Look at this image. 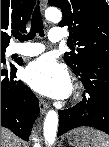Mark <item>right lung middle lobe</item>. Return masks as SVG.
<instances>
[{
    "instance_id": "right-lung-middle-lobe-1",
    "label": "right lung middle lobe",
    "mask_w": 109,
    "mask_h": 147,
    "mask_svg": "<svg viewBox=\"0 0 109 147\" xmlns=\"http://www.w3.org/2000/svg\"><path fill=\"white\" fill-rule=\"evenodd\" d=\"M5 49L1 48V61H4Z\"/></svg>"
}]
</instances>
